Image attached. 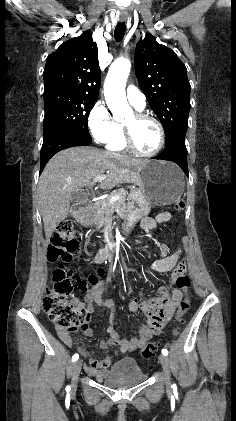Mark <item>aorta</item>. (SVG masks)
Segmentation results:
<instances>
[{
    "label": "aorta",
    "mask_w": 236,
    "mask_h": 421,
    "mask_svg": "<svg viewBox=\"0 0 236 421\" xmlns=\"http://www.w3.org/2000/svg\"><path fill=\"white\" fill-rule=\"evenodd\" d=\"M130 68L131 62L129 58H123V60H114L108 70L104 82V94L112 112H114L116 104L126 100L125 86Z\"/></svg>",
    "instance_id": "obj_1"
}]
</instances>
